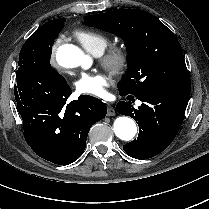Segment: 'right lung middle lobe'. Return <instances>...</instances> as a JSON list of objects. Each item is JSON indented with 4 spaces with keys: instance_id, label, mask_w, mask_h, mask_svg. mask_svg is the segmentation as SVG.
<instances>
[{
    "instance_id": "obj_1",
    "label": "right lung middle lobe",
    "mask_w": 209,
    "mask_h": 209,
    "mask_svg": "<svg viewBox=\"0 0 209 209\" xmlns=\"http://www.w3.org/2000/svg\"><path fill=\"white\" fill-rule=\"evenodd\" d=\"M65 18L54 19L38 28L23 44L19 54L16 77L26 71L65 80L50 65L52 45L64 27Z\"/></svg>"
}]
</instances>
